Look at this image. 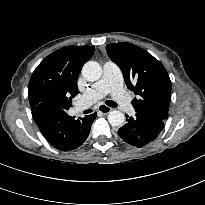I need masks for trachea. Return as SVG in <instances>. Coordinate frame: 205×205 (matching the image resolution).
<instances>
[{"mask_svg":"<svg viewBox=\"0 0 205 205\" xmlns=\"http://www.w3.org/2000/svg\"><path fill=\"white\" fill-rule=\"evenodd\" d=\"M106 104L110 107H117V104L115 102L111 101V100H107Z\"/></svg>","mask_w":205,"mask_h":205,"instance_id":"trachea-1","label":"trachea"}]
</instances>
